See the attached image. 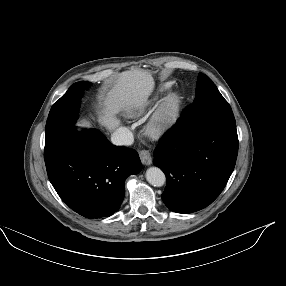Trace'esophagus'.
I'll use <instances>...</instances> for the list:
<instances>
[{
  "label": "esophagus",
  "mask_w": 286,
  "mask_h": 286,
  "mask_svg": "<svg viewBox=\"0 0 286 286\" xmlns=\"http://www.w3.org/2000/svg\"><path fill=\"white\" fill-rule=\"evenodd\" d=\"M139 157L141 162L144 165H151L152 163V157H151V153L147 150H142L139 152Z\"/></svg>",
  "instance_id": "esophagus-1"
}]
</instances>
